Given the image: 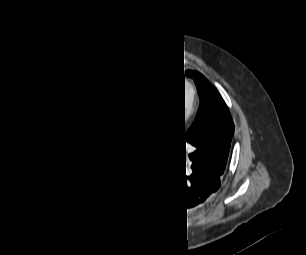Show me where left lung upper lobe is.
Masks as SVG:
<instances>
[{"label":"left lung upper lobe","mask_w":306,"mask_h":255,"mask_svg":"<svg viewBox=\"0 0 306 255\" xmlns=\"http://www.w3.org/2000/svg\"><path fill=\"white\" fill-rule=\"evenodd\" d=\"M187 75L194 79L200 97L196 121L184 137L185 146L193 147L188 155L191 168L205 167L221 176L234 134L230 112L218 90L202 74L187 71ZM183 158L186 160V150Z\"/></svg>","instance_id":"left-lung-upper-lobe-1"}]
</instances>
